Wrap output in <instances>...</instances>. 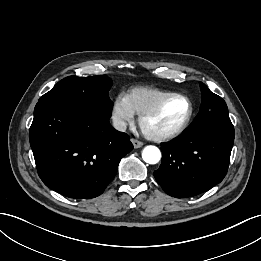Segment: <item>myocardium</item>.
I'll use <instances>...</instances> for the list:
<instances>
[{
	"instance_id": "1",
	"label": "myocardium",
	"mask_w": 261,
	"mask_h": 261,
	"mask_svg": "<svg viewBox=\"0 0 261 261\" xmlns=\"http://www.w3.org/2000/svg\"><path fill=\"white\" fill-rule=\"evenodd\" d=\"M172 99H182L187 102L188 112L184 117V119L177 126H175L170 130L158 131V132L149 130L146 127L147 120L157 115L162 110V108ZM193 112H194L193 103L187 96L179 93H170L167 96L163 97L161 100H159L155 105H153L152 107H150L149 109H147L146 111L140 114L139 125L142 132L147 138L154 141H165L178 136L186 129V127L191 121Z\"/></svg>"
}]
</instances>
